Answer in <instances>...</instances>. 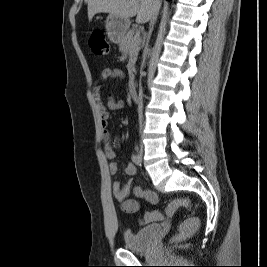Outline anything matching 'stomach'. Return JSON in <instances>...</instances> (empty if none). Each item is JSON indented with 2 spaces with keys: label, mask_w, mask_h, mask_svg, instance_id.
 <instances>
[{
  "label": "stomach",
  "mask_w": 267,
  "mask_h": 267,
  "mask_svg": "<svg viewBox=\"0 0 267 267\" xmlns=\"http://www.w3.org/2000/svg\"><path fill=\"white\" fill-rule=\"evenodd\" d=\"M105 24L109 40L113 43H119L130 27V20L110 14Z\"/></svg>",
  "instance_id": "stomach-1"
}]
</instances>
